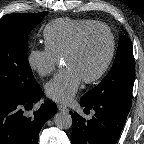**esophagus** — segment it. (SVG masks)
Here are the masks:
<instances>
[{"label":"esophagus","instance_id":"34e87169","mask_svg":"<svg viewBox=\"0 0 144 144\" xmlns=\"http://www.w3.org/2000/svg\"><path fill=\"white\" fill-rule=\"evenodd\" d=\"M57 108L60 112H69V109L64 105L59 104L57 105Z\"/></svg>","mask_w":144,"mask_h":144}]
</instances>
